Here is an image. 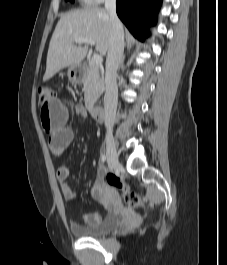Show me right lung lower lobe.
<instances>
[{"label": "right lung lower lobe", "instance_id": "right-lung-lower-lobe-1", "mask_svg": "<svg viewBox=\"0 0 227 265\" xmlns=\"http://www.w3.org/2000/svg\"><path fill=\"white\" fill-rule=\"evenodd\" d=\"M162 0H117V14L138 39L148 37V27L155 24Z\"/></svg>", "mask_w": 227, "mask_h": 265}]
</instances>
